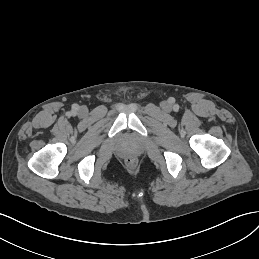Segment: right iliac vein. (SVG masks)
Listing matches in <instances>:
<instances>
[{"label": "right iliac vein", "mask_w": 259, "mask_h": 259, "mask_svg": "<svg viewBox=\"0 0 259 259\" xmlns=\"http://www.w3.org/2000/svg\"><path fill=\"white\" fill-rule=\"evenodd\" d=\"M79 113H80V115L87 114V108H85V107L80 108Z\"/></svg>", "instance_id": "obj_1"}]
</instances>
